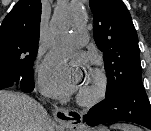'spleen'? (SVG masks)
I'll return each instance as SVG.
<instances>
[{"label": "spleen", "mask_w": 151, "mask_h": 131, "mask_svg": "<svg viewBox=\"0 0 151 131\" xmlns=\"http://www.w3.org/2000/svg\"><path fill=\"white\" fill-rule=\"evenodd\" d=\"M112 128L119 129L121 131H140V129H138L137 127L128 124H116L113 125Z\"/></svg>", "instance_id": "1"}]
</instances>
